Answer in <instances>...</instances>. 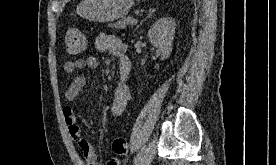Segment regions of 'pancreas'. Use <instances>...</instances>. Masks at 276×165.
Wrapping results in <instances>:
<instances>
[{
  "label": "pancreas",
  "instance_id": "1",
  "mask_svg": "<svg viewBox=\"0 0 276 165\" xmlns=\"http://www.w3.org/2000/svg\"><path fill=\"white\" fill-rule=\"evenodd\" d=\"M130 20H131V17H128V18L122 19L114 24H110L109 26L115 27L117 29H124L126 27V25L129 24Z\"/></svg>",
  "mask_w": 276,
  "mask_h": 165
}]
</instances>
